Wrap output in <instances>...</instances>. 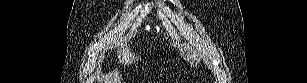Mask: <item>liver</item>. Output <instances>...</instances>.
Here are the masks:
<instances>
[{
    "mask_svg": "<svg viewBox=\"0 0 307 83\" xmlns=\"http://www.w3.org/2000/svg\"><path fill=\"white\" fill-rule=\"evenodd\" d=\"M129 54H130V57L132 59H134V56L131 55L129 48L126 45L120 44V50L118 51V58H119L120 62L130 63Z\"/></svg>",
    "mask_w": 307,
    "mask_h": 83,
    "instance_id": "obj_1",
    "label": "liver"
}]
</instances>
